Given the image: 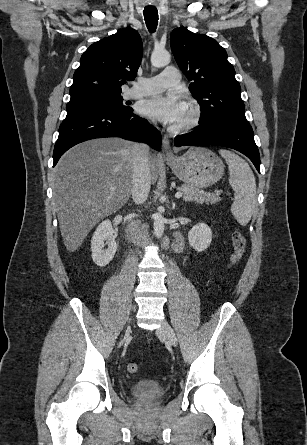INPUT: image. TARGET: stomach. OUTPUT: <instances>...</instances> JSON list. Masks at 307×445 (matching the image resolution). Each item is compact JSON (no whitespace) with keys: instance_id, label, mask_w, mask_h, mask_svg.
I'll return each mask as SVG.
<instances>
[{"instance_id":"0dacf381","label":"stomach","mask_w":307,"mask_h":445,"mask_svg":"<svg viewBox=\"0 0 307 445\" xmlns=\"http://www.w3.org/2000/svg\"><path fill=\"white\" fill-rule=\"evenodd\" d=\"M167 164L184 184L195 188H207L224 174L223 160L202 146L189 148L182 156H176L173 162L167 160Z\"/></svg>"}]
</instances>
